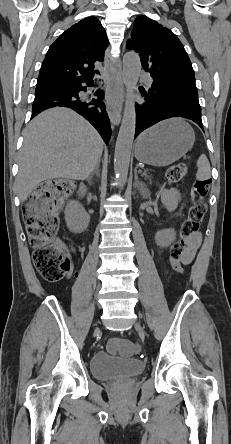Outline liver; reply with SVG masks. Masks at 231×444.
<instances>
[{
	"mask_svg": "<svg viewBox=\"0 0 231 444\" xmlns=\"http://www.w3.org/2000/svg\"><path fill=\"white\" fill-rule=\"evenodd\" d=\"M23 135L16 180L21 201L42 181L86 179L103 150V141L94 127L65 107L43 111L27 125Z\"/></svg>",
	"mask_w": 231,
	"mask_h": 444,
	"instance_id": "obj_1",
	"label": "liver"
}]
</instances>
